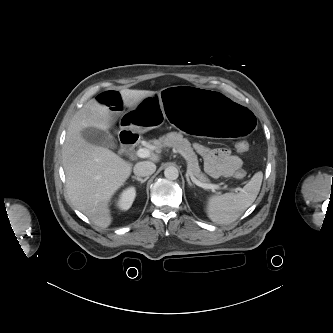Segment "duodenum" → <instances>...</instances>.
Returning a JSON list of instances; mask_svg holds the SVG:
<instances>
[{
    "label": "duodenum",
    "mask_w": 333,
    "mask_h": 333,
    "mask_svg": "<svg viewBox=\"0 0 333 333\" xmlns=\"http://www.w3.org/2000/svg\"><path fill=\"white\" fill-rule=\"evenodd\" d=\"M120 140H121L123 149L127 153L132 152L139 142L138 136L130 131L121 132Z\"/></svg>",
    "instance_id": "obj_1"
}]
</instances>
